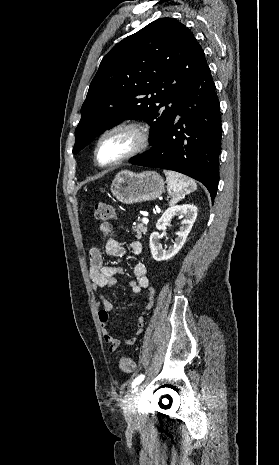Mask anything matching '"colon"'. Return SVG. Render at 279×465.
I'll return each instance as SVG.
<instances>
[{
  "mask_svg": "<svg viewBox=\"0 0 279 465\" xmlns=\"http://www.w3.org/2000/svg\"><path fill=\"white\" fill-rule=\"evenodd\" d=\"M94 216L101 221L116 220V212L112 205L107 203H96L94 206ZM118 366L124 373H132L135 369L134 361L128 356H120Z\"/></svg>",
  "mask_w": 279,
  "mask_h": 465,
  "instance_id": "1",
  "label": "colon"
}]
</instances>
